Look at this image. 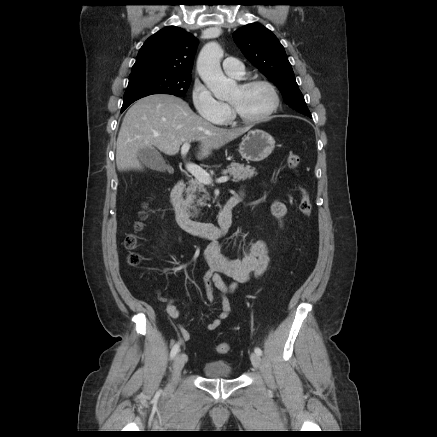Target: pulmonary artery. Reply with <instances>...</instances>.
<instances>
[{"label": "pulmonary artery", "instance_id": "1", "mask_svg": "<svg viewBox=\"0 0 437 437\" xmlns=\"http://www.w3.org/2000/svg\"><path fill=\"white\" fill-rule=\"evenodd\" d=\"M222 68L223 71L231 77L241 78L244 75V67L242 63L234 57H227L224 59Z\"/></svg>", "mask_w": 437, "mask_h": 437}]
</instances>
